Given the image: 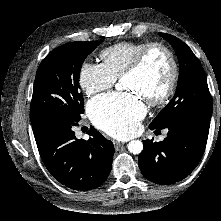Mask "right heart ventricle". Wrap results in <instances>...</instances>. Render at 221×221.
<instances>
[{"mask_svg": "<svg viewBox=\"0 0 221 221\" xmlns=\"http://www.w3.org/2000/svg\"><path fill=\"white\" fill-rule=\"evenodd\" d=\"M144 44L146 43L120 42L109 46L100 53L102 64L116 79L121 78Z\"/></svg>", "mask_w": 221, "mask_h": 221, "instance_id": "e07e8e85", "label": "right heart ventricle"}]
</instances>
